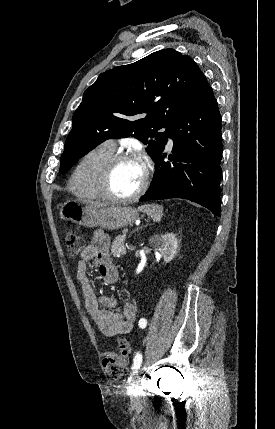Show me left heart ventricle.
<instances>
[{"mask_svg": "<svg viewBox=\"0 0 275 429\" xmlns=\"http://www.w3.org/2000/svg\"><path fill=\"white\" fill-rule=\"evenodd\" d=\"M144 167L139 160H127L116 165L111 179L110 189L117 196H129L141 185Z\"/></svg>", "mask_w": 275, "mask_h": 429, "instance_id": "b2bd125f", "label": "left heart ventricle"}]
</instances>
